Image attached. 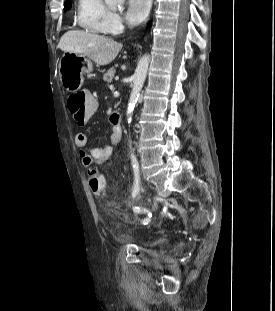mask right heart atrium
<instances>
[{
	"label": "right heart atrium",
	"instance_id": "right-heart-atrium-1",
	"mask_svg": "<svg viewBox=\"0 0 275 311\" xmlns=\"http://www.w3.org/2000/svg\"><path fill=\"white\" fill-rule=\"evenodd\" d=\"M123 27L122 18L119 14L112 12L108 19V29L112 33L119 32Z\"/></svg>",
	"mask_w": 275,
	"mask_h": 311
}]
</instances>
